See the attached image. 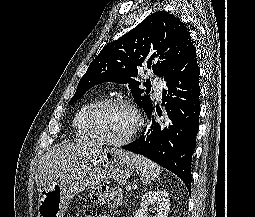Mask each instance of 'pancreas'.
<instances>
[{
  "label": "pancreas",
  "mask_w": 255,
  "mask_h": 217,
  "mask_svg": "<svg viewBox=\"0 0 255 217\" xmlns=\"http://www.w3.org/2000/svg\"><path fill=\"white\" fill-rule=\"evenodd\" d=\"M124 183H125L124 181H120V182H119L120 185H123Z\"/></svg>",
  "instance_id": "obj_1"
}]
</instances>
